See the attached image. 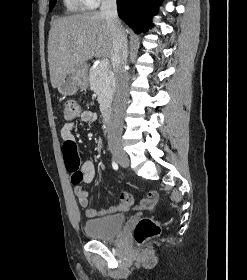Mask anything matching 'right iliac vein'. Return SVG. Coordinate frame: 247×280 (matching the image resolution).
Here are the masks:
<instances>
[{"label":"right iliac vein","instance_id":"1","mask_svg":"<svg viewBox=\"0 0 247 280\" xmlns=\"http://www.w3.org/2000/svg\"><path fill=\"white\" fill-rule=\"evenodd\" d=\"M110 150L118 163H120L122 166H128V156L119 145H111Z\"/></svg>","mask_w":247,"mask_h":280}]
</instances>
